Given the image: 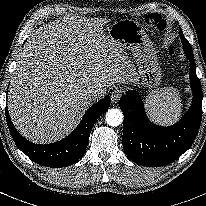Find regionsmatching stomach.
<instances>
[{"mask_svg": "<svg viewBox=\"0 0 206 206\" xmlns=\"http://www.w3.org/2000/svg\"><path fill=\"white\" fill-rule=\"evenodd\" d=\"M108 35L131 53L136 64L134 84L140 88L157 87L161 81L162 71L156 49L144 28L135 20L124 19L108 27Z\"/></svg>", "mask_w": 206, "mask_h": 206, "instance_id": "1", "label": "stomach"}]
</instances>
